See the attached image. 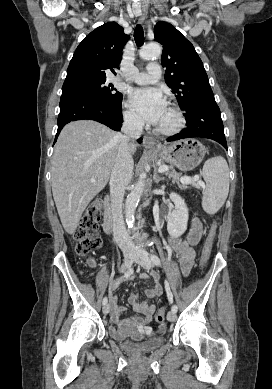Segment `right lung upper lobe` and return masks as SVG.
Returning a JSON list of instances; mask_svg holds the SVG:
<instances>
[{
	"instance_id": "right-lung-upper-lobe-1",
	"label": "right lung upper lobe",
	"mask_w": 272,
	"mask_h": 389,
	"mask_svg": "<svg viewBox=\"0 0 272 389\" xmlns=\"http://www.w3.org/2000/svg\"><path fill=\"white\" fill-rule=\"evenodd\" d=\"M116 22L105 23L79 44L67 69L65 84L106 79V71L119 67L129 38Z\"/></svg>"
}]
</instances>
